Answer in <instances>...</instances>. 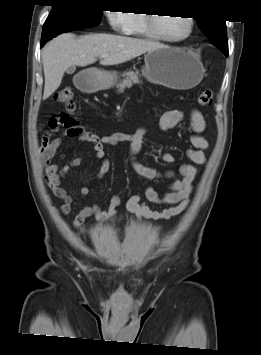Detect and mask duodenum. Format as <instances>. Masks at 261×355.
<instances>
[{
  "label": "duodenum",
  "instance_id": "obj_1",
  "mask_svg": "<svg viewBox=\"0 0 261 355\" xmlns=\"http://www.w3.org/2000/svg\"><path fill=\"white\" fill-rule=\"evenodd\" d=\"M78 86L81 88V89H90V88H93L94 86L92 84H90L88 81L86 80H82Z\"/></svg>",
  "mask_w": 261,
  "mask_h": 355
}]
</instances>
